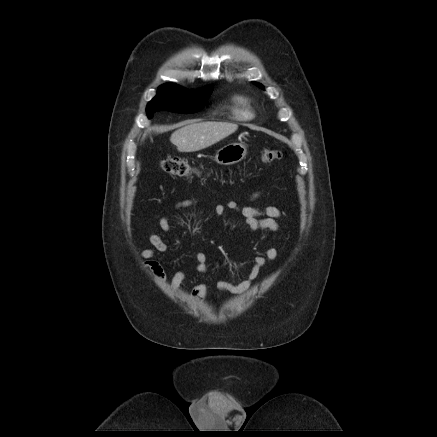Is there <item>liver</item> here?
Segmentation results:
<instances>
[{
	"mask_svg": "<svg viewBox=\"0 0 437 437\" xmlns=\"http://www.w3.org/2000/svg\"><path fill=\"white\" fill-rule=\"evenodd\" d=\"M237 129V124L229 122H189L173 132L170 141L179 152H195L219 142Z\"/></svg>",
	"mask_w": 437,
	"mask_h": 437,
	"instance_id": "6515ba94",
	"label": "liver"
}]
</instances>
